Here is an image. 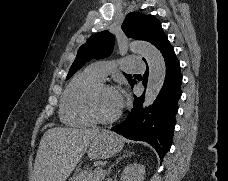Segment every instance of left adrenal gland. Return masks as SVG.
<instances>
[{"instance_id": "1", "label": "left adrenal gland", "mask_w": 228, "mask_h": 181, "mask_svg": "<svg viewBox=\"0 0 228 181\" xmlns=\"http://www.w3.org/2000/svg\"><path fill=\"white\" fill-rule=\"evenodd\" d=\"M125 157H127V155H123V157H119V159H117L116 163H113V165H111V167H109L108 171H106V175H110L112 167H115V165H117V163H120V161H122V159H125Z\"/></svg>"}]
</instances>
